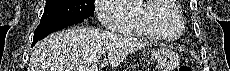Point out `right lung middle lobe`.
<instances>
[{
  "mask_svg": "<svg viewBox=\"0 0 230 71\" xmlns=\"http://www.w3.org/2000/svg\"><path fill=\"white\" fill-rule=\"evenodd\" d=\"M95 0H46L40 23L88 18L94 15Z\"/></svg>",
  "mask_w": 230,
  "mask_h": 71,
  "instance_id": "1",
  "label": "right lung middle lobe"
}]
</instances>
